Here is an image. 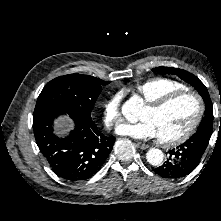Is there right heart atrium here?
I'll return each mask as SVG.
<instances>
[{
	"label": "right heart atrium",
	"instance_id": "d8ad5b80",
	"mask_svg": "<svg viewBox=\"0 0 221 221\" xmlns=\"http://www.w3.org/2000/svg\"><path fill=\"white\" fill-rule=\"evenodd\" d=\"M121 101L122 94L120 92L112 95L103 106V121L107 128H114L121 120Z\"/></svg>",
	"mask_w": 221,
	"mask_h": 221
}]
</instances>
